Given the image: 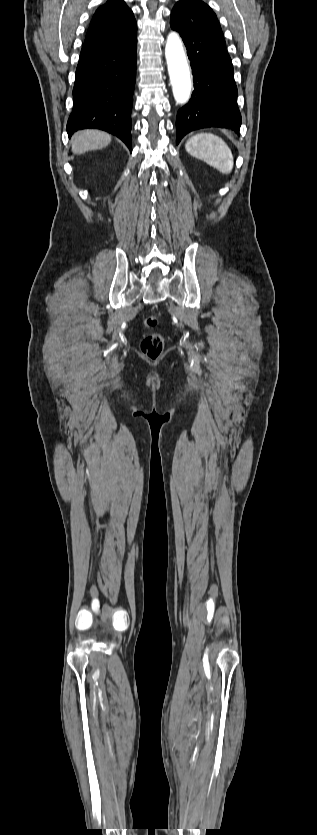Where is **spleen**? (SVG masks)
I'll return each instance as SVG.
<instances>
[{
	"instance_id": "1",
	"label": "spleen",
	"mask_w": 317,
	"mask_h": 835,
	"mask_svg": "<svg viewBox=\"0 0 317 835\" xmlns=\"http://www.w3.org/2000/svg\"><path fill=\"white\" fill-rule=\"evenodd\" d=\"M186 151L193 157L203 160L222 174L233 170L234 158L228 145L222 138L211 133H199L192 136L185 144Z\"/></svg>"
}]
</instances>
